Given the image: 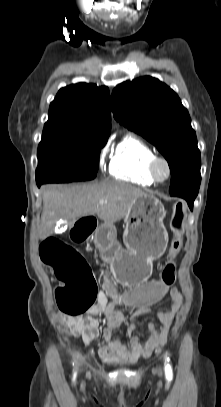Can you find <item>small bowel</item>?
Segmentation results:
<instances>
[{
  "mask_svg": "<svg viewBox=\"0 0 221 407\" xmlns=\"http://www.w3.org/2000/svg\"><path fill=\"white\" fill-rule=\"evenodd\" d=\"M122 289L111 286L103 281L102 288L96 297L97 304L89 309L88 316H66L65 321L74 336L80 337L85 344L90 345L97 338L100 325L99 320L103 319L106 327L103 331L104 343L98 347L99 355L106 360L134 362L141 356L150 355L155 347L167 340L175 316L181 306L182 296L175 287H173L172 292H164L165 295H170L171 305L169 309L158 312L161 324L159 326L155 323L149 324L150 334L145 341H141L137 336H130L126 344L115 336L116 330L124 321L123 314L115 310L116 305H126L124 303L126 297ZM108 296L112 298L111 301L108 300ZM144 312L146 311L135 312L129 331L136 328L135 321Z\"/></svg>",
  "mask_w": 221,
  "mask_h": 407,
  "instance_id": "obj_1",
  "label": "small bowel"
}]
</instances>
